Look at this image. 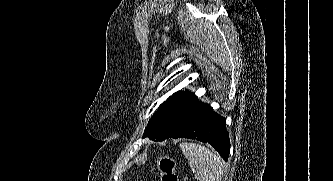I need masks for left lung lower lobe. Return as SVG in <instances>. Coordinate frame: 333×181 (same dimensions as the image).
<instances>
[{
    "label": "left lung lower lobe",
    "instance_id": "1",
    "mask_svg": "<svg viewBox=\"0 0 333 181\" xmlns=\"http://www.w3.org/2000/svg\"><path fill=\"white\" fill-rule=\"evenodd\" d=\"M172 138H189L209 143L227 161L230 153L229 134L226 131V120L207 105L175 136ZM151 140L163 141L161 136Z\"/></svg>",
    "mask_w": 333,
    "mask_h": 181
}]
</instances>
